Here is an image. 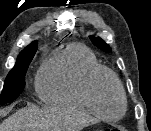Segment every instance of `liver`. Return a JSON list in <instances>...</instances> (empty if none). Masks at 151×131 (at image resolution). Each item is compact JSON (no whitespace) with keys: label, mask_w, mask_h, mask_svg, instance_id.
Segmentation results:
<instances>
[{"label":"liver","mask_w":151,"mask_h":131,"mask_svg":"<svg viewBox=\"0 0 151 131\" xmlns=\"http://www.w3.org/2000/svg\"><path fill=\"white\" fill-rule=\"evenodd\" d=\"M95 122L70 108H21L0 124V131H80Z\"/></svg>","instance_id":"liver-1"}]
</instances>
